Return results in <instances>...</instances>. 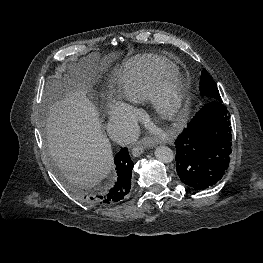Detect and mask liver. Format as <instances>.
Instances as JSON below:
<instances>
[{
  "instance_id": "liver-1",
  "label": "liver",
  "mask_w": 263,
  "mask_h": 263,
  "mask_svg": "<svg viewBox=\"0 0 263 263\" xmlns=\"http://www.w3.org/2000/svg\"><path fill=\"white\" fill-rule=\"evenodd\" d=\"M87 68L96 67L94 62ZM80 84L48 82L46 94L54 91L46 119L49 154L70 183L81 187L97 185L113 167L109 139L94 105L87 97L90 77Z\"/></svg>"
}]
</instances>
